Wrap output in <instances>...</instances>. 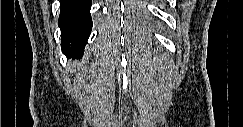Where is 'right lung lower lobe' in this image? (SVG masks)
Instances as JSON below:
<instances>
[{"instance_id":"obj_1","label":"right lung lower lobe","mask_w":243,"mask_h":127,"mask_svg":"<svg viewBox=\"0 0 243 127\" xmlns=\"http://www.w3.org/2000/svg\"><path fill=\"white\" fill-rule=\"evenodd\" d=\"M91 0H61L58 25L63 53L82 56L92 29Z\"/></svg>"}]
</instances>
